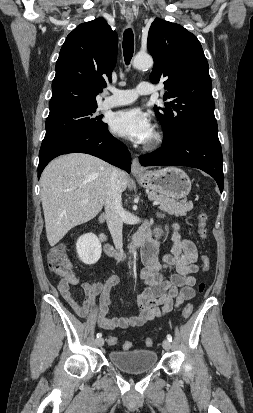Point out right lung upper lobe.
<instances>
[{"mask_svg": "<svg viewBox=\"0 0 253 413\" xmlns=\"http://www.w3.org/2000/svg\"><path fill=\"white\" fill-rule=\"evenodd\" d=\"M117 49V34L104 18L78 25L67 36L56 62L49 116L97 107V94L111 81Z\"/></svg>", "mask_w": 253, "mask_h": 413, "instance_id": "obj_1", "label": "right lung upper lobe"}]
</instances>
